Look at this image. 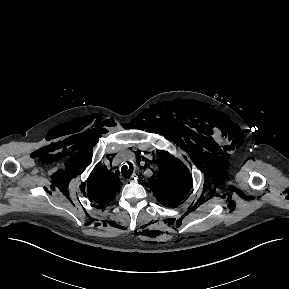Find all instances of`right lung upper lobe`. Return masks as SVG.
Returning a JSON list of instances; mask_svg holds the SVG:
<instances>
[{
	"label": "right lung upper lobe",
	"mask_w": 289,
	"mask_h": 289,
	"mask_svg": "<svg viewBox=\"0 0 289 289\" xmlns=\"http://www.w3.org/2000/svg\"><path fill=\"white\" fill-rule=\"evenodd\" d=\"M94 170L87 180L86 191L90 200L104 205L115 198L114 195L119 191L121 183L114 177V173L108 171L100 163L95 166Z\"/></svg>",
	"instance_id": "right-lung-upper-lobe-1"
}]
</instances>
